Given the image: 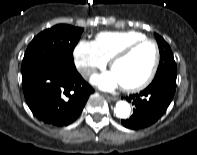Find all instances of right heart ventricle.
<instances>
[{"instance_id":"right-heart-ventricle-1","label":"right heart ventricle","mask_w":197,"mask_h":155,"mask_svg":"<svg viewBox=\"0 0 197 155\" xmlns=\"http://www.w3.org/2000/svg\"><path fill=\"white\" fill-rule=\"evenodd\" d=\"M145 38V34L135 30L104 31L96 35L94 42L102 54L109 60L124 46Z\"/></svg>"}]
</instances>
